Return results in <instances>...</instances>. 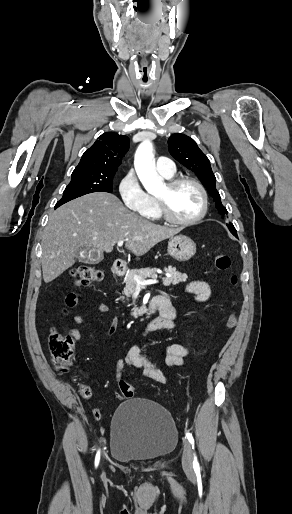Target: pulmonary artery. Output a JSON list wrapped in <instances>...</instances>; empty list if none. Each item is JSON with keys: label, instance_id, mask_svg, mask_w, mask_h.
<instances>
[{"label": "pulmonary artery", "instance_id": "e3ab8cb5", "mask_svg": "<svg viewBox=\"0 0 292 514\" xmlns=\"http://www.w3.org/2000/svg\"><path fill=\"white\" fill-rule=\"evenodd\" d=\"M159 173L165 178H172L176 174V168L171 156H161L159 158Z\"/></svg>", "mask_w": 292, "mask_h": 514}]
</instances>
